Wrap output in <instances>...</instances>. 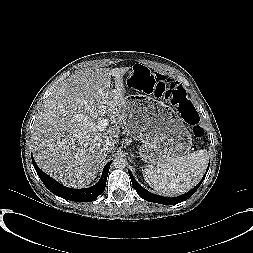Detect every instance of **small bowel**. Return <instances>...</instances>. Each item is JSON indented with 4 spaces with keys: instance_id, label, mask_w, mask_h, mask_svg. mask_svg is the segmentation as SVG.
<instances>
[{
    "instance_id": "obj_1",
    "label": "small bowel",
    "mask_w": 253,
    "mask_h": 253,
    "mask_svg": "<svg viewBox=\"0 0 253 253\" xmlns=\"http://www.w3.org/2000/svg\"><path fill=\"white\" fill-rule=\"evenodd\" d=\"M161 80H165L163 75L150 72L148 79H134L131 80V83L133 88L137 90L157 94V85L161 82Z\"/></svg>"
}]
</instances>
